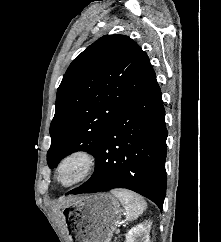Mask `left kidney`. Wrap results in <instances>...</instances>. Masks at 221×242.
Here are the masks:
<instances>
[{"mask_svg":"<svg viewBox=\"0 0 221 242\" xmlns=\"http://www.w3.org/2000/svg\"><path fill=\"white\" fill-rule=\"evenodd\" d=\"M150 227L151 223L146 221L143 224H139L136 227L131 228L126 234L125 242H150Z\"/></svg>","mask_w":221,"mask_h":242,"instance_id":"obj_1","label":"left kidney"}]
</instances>
